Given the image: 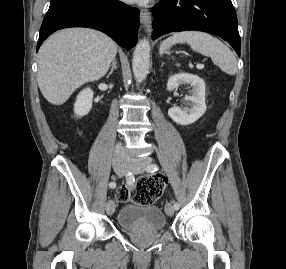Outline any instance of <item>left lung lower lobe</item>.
<instances>
[{"label": "left lung lower lobe", "instance_id": "left-lung-lower-lobe-1", "mask_svg": "<svg viewBox=\"0 0 286 269\" xmlns=\"http://www.w3.org/2000/svg\"><path fill=\"white\" fill-rule=\"evenodd\" d=\"M152 13L153 40L172 31H205L229 42L240 56L238 23L231 0H161Z\"/></svg>", "mask_w": 286, "mask_h": 269}]
</instances>
